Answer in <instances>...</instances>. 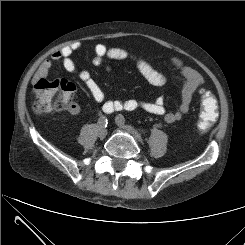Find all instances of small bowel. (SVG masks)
<instances>
[{"mask_svg": "<svg viewBox=\"0 0 245 245\" xmlns=\"http://www.w3.org/2000/svg\"><path fill=\"white\" fill-rule=\"evenodd\" d=\"M79 48V44L71 43L60 50L53 52L51 59L53 61H61L66 72L76 74L84 83L93 99L103 104V111L105 113H112L120 110L142 109L148 113L162 116L167 123H175L180 121L188 112L193 95L203 84V78L199 72L185 65L180 59L172 58L170 63L182 78L181 102L176 110H168L163 98H156L152 101L141 99L106 100L104 90L93 79L90 72L85 69H78L75 62L72 60V54ZM94 49L95 56L92 62L95 66L102 65L105 58L115 61L128 60L135 65L138 72L151 85L163 86L167 81V77L163 73L159 72L149 61L132 54L126 49L120 47H108L103 43L96 44ZM52 66L53 64L51 60L43 61L37 70L33 81L37 82L40 79L46 78L52 69ZM106 69L108 72L111 71L109 66ZM69 110L72 114H78L80 112V107L78 104L72 103Z\"/></svg>", "mask_w": 245, "mask_h": 245, "instance_id": "small-bowel-1", "label": "small bowel"}]
</instances>
